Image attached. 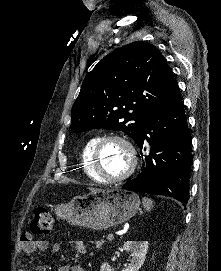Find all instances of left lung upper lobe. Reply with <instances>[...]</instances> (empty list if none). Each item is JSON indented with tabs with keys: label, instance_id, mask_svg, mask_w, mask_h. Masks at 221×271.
<instances>
[{
	"label": "left lung upper lobe",
	"instance_id": "obj_1",
	"mask_svg": "<svg viewBox=\"0 0 221 271\" xmlns=\"http://www.w3.org/2000/svg\"><path fill=\"white\" fill-rule=\"evenodd\" d=\"M177 91L172 70L157 48L143 41L130 43L86 75L72 107L71 129L120 130L136 141L145 121Z\"/></svg>",
	"mask_w": 221,
	"mask_h": 271
}]
</instances>
